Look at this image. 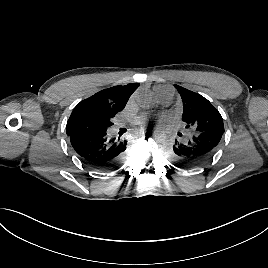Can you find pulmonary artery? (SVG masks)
<instances>
[{"label": "pulmonary artery", "mask_w": 268, "mask_h": 268, "mask_svg": "<svg viewBox=\"0 0 268 268\" xmlns=\"http://www.w3.org/2000/svg\"><path fill=\"white\" fill-rule=\"evenodd\" d=\"M172 93L170 92H160L158 94V99L162 103H168L172 99Z\"/></svg>", "instance_id": "pulmonary-artery-1"}]
</instances>
